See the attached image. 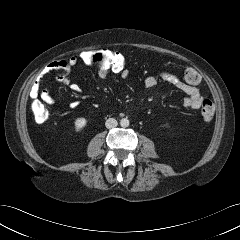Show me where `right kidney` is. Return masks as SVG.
<instances>
[{
    "label": "right kidney",
    "mask_w": 240,
    "mask_h": 240,
    "mask_svg": "<svg viewBox=\"0 0 240 240\" xmlns=\"http://www.w3.org/2000/svg\"><path fill=\"white\" fill-rule=\"evenodd\" d=\"M87 120L83 117L77 118L74 122L75 131L80 132L86 126Z\"/></svg>",
    "instance_id": "1"
}]
</instances>
